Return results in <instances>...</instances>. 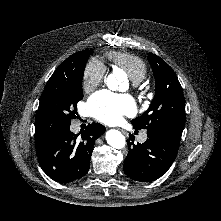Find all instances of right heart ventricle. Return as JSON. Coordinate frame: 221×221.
Segmentation results:
<instances>
[{
  "label": "right heart ventricle",
  "mask_w": 221,
  "mask_h": 221,
  "mask_svg": "<svg viewBox=\"0 0 221 221\" xmlns=\"http://www.w3.org/2000/svg\"><path fill=\"white\" fill-rule=\"evenodd\" d=\"M107 57L115 67L123 69L133 83L138 84L145 79L147 66L141 58L125 52H110Z\"/></svg>",
  "instance_id": "obj_1"
}]
</instances>
